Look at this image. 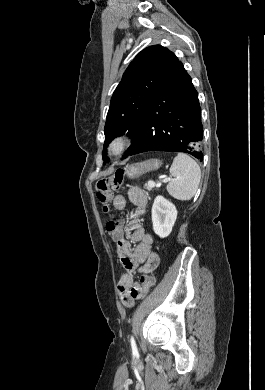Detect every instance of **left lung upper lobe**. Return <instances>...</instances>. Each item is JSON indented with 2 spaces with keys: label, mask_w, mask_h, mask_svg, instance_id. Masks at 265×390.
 <instances>
[{
  "label": "left lung upper lobe",
  "mask_w": 265,
  "mask_h": 390,
  "mask_svg": "<svg viewBox=\"0 0 265 390\" xmlns=\"http://www.w3.org/2000/svg\"><path fill=\"white\" fill-rule=\"evenodd\" d=\"M178 62L173 52L161 45H154L139 52L129 64L112 95L106 118L105 162L109 161L106 156L108 144L126 131L132 140L125 154V157L128 156L138 139L149 104Z\"/></svg>",
  "instance_id": "5c2ea615"
}]
</instances>
